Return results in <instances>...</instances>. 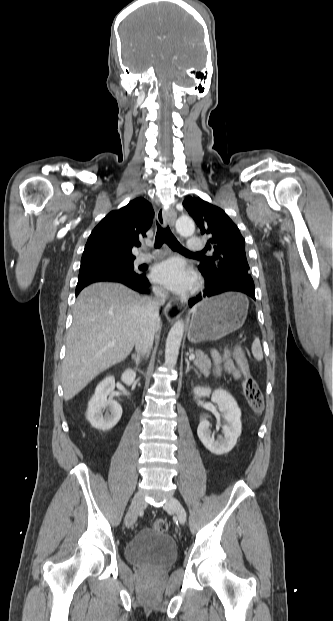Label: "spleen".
I'll use <instances>...</instances> for the list:
<instances>
[{
  "mask_svg": "<svg viewBox=\"0 0 333 621\" xmlns=\"http://www.w3.org/2000/svg\"><path fill=\"white\" fill-rule=\"evenodd\" d=\"M251 350H252V354L254 356V358L258 361H261L263 359V352H262V348H261V344L259 339H255L252 343L251 346Z\"/></svg>",
  "mask_w": 333,
  "mask_h": 621,
  "instance_id": "obj_1",
  "label": "spleen"
}]
</instances>
